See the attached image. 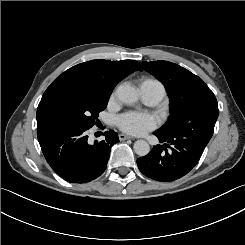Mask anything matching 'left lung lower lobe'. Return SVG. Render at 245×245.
Returning <instances> with one entry per match:
<instances>
[{"instance_id": "1", "label": "left lung lower lobe", "mask_w": 245, "mask_h": 245, "mask_svg": "<svg viewBox=\"0 0 245 245\" xmlns=\"http://www.w3.org/2000/svg\"><path fill=\"white\" fill-rule=\"evenodd\" d=\"M215 122L203 118L192 129L165 134L154 132L163 146L156 145L137 159L138 168L147 177L162 182L175 181L188 174L199 161L212 137ZM171 145H168V144ZM171 150H167L166 148Z\"/></svg>"}]
</instances>
